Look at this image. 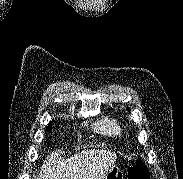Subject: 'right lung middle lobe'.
<instances>
[{"label": "right lung middle lobe", "instance_id": "right-lung-middle-lobe-1", "mask_svg": "<svg viewBox=\"0 0 183 179\" xmlns=\"http://www.w3.org/2000/svg\"><path fill=\"white\" fill-rule=\"evenodd\" d=\"M51 129V122L49 123V126L47 127V130Z\"/></svg>", "mask_w": 183, "mask_h": 179}]
</instances>
